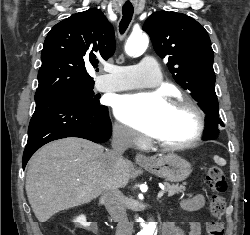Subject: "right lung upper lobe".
Listing matches in <instances>:
<instances>
[{
  "mask_svg": "<svg viewBox=\"0 0 250 235\" xmlns=\"http://www.w3.org/2000/svg\"><path fill=\"white\" fill-rule=\"evenodd\" d=\"M114 51L113 26L96 8L57 23L44 41L35 98L94 86L85 66L96 67Z\"/></svg>",
  "mask_w": 250,
  "mask_h": 235,
  "instance_id": "obj_1",
  "label": "right lung upper lobe"
}]
</instances>
